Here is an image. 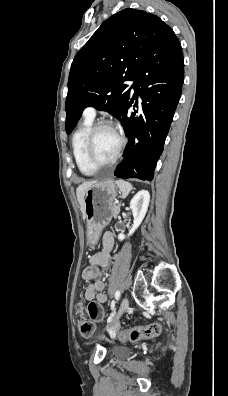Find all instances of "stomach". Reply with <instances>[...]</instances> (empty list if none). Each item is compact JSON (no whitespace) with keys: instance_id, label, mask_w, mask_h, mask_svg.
<instances>
[{"instance_id":"obj_1","label":"stomach","mask_w":228,"mask_h":396,"mask_svg":"<svg viewBox=\"0 0 228 396\" xmlns=\"http://www.w3.org/2000/svg\"><path fill=\"white\" fill-rule=\"evenodd\" d=\"M116 185L112 180L94 182L87 188L84 196L87 221V241L94 246L103 228L113 216V201L116 198Z\"/></svg>"}]
</instances>
